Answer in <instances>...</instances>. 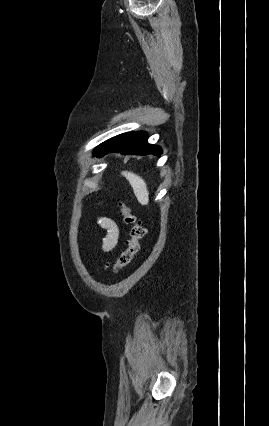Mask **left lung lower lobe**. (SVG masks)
I'll return each mask as SVG.
<instances>
[{
    "label": "left lung lower lobe",
    "instance_id": "0a47b994",
    "mask_svg": "<svg viewBox=\"0 0 269 426\" xmlns=\"http://www.w3.org/2000/svg\"><path fill=\"white\" fill-rule=\"evenodd\" d=\"M108 152H120L131 155L153 154L160 156L162 150L159 146L147 143V136L144 132H130L117 135L100 144L93 155L102 157Z\"/></svg>",
    "mask_w": 269,
    "mask_h": 426
}]
</instances>
